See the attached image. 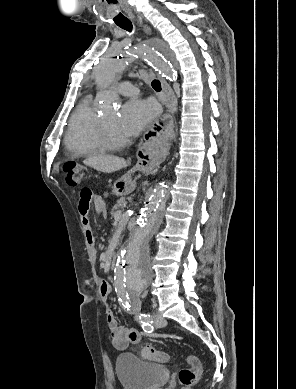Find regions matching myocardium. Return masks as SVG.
Segmentation results:
<instances>
[{
    "instance_id": "myocardium-1",
    "label": "myocardium",
    "mask_w": 296,
    "mask_h": 389,
    "mask_svg": "<svg viewBox=\"0 0 296 389\" xmlns=\"http://www.w3.org/2000/svg\"><path fill=\"white\" fill-rule=\"evenodd\" d=\"M98 137L102 147L105 150H115L125 146L128 142L127 138H113L106 126L103 118L98 120Z\"/></svg>"
}]
</instances>
